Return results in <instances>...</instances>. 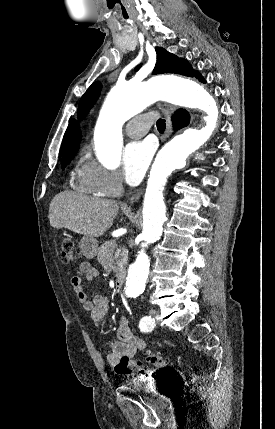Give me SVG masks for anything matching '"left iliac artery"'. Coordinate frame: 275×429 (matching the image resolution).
Masks as SVG:
<instances>
[{
	"label": "left iliac artery",
	"instance_id": "obj_1",
	"mask_svg": "<svg viewBox=\"0 0 275 429\" xmlns=\"http://www.w3.org/2000/svg\"><path fill=\"white\" fill-rule=\"evenodd\" d=\"M154 327V320L149 316L143 317L139 322V328L141 331L148 332Z\"/></svg>",
	"mask_w": 275,
	"mask_h": 429
}]
</instances>
